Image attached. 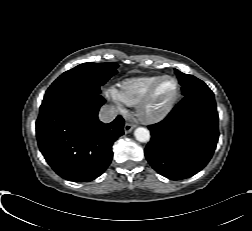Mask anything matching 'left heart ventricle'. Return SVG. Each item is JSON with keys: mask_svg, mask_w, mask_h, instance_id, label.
<instances>
[{"mask_svg": "<svg viewBox=\"0 0 252 231\" xmlns=\"http://www.w3.org/2000/svg\"><path fill=\"white\" fill-rule=\"evenodd\" d=\"M176 91L175 82L171 79H165L159 85L150 104V110L155 112L163 109L172 99Z\"/></svg>", "mask_w": 252, "mask_h": 231, "instance_id": "b2bd125f", "label": "left heart ventricle"}]
</instances>
